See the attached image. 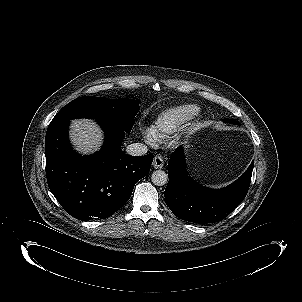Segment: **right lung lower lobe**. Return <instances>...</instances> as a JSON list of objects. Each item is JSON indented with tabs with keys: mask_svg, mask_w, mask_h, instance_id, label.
Segmentation results:
<instances>
[{
	"mask_svg": "<svg viewBox=\"0 0 302 302\" xmlns=\"http://www.w3.org/2000/svg\"><path fill=\"white\" fill-rule=\"evenodd\" d=\"M98 123L105 132V143L91 156L72 149L70 120L49 125L45 138L48 186L65 211L83 221L108 218L124 206L153 161V155L125 154L121 143L126 132L113 123Z\"/></svg>",
	"mask_w": 302,
	"mask_h": 302,
	"instance_id": "obj_1",
	"label": "right lung lower lobe"
}]
</instances>
